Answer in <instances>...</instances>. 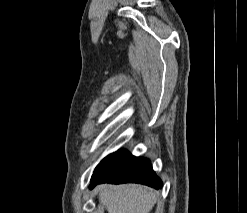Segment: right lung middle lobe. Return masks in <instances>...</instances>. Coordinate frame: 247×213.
Returning a JSON list of instances; mask_svg holds the SVG:
<instances>
[{"label":"right lung middle lobe","instance_id":"1","mask_svg":"<svg viewBox=\"0 0 247 213\" xmlns=\"http://www.w3.org/2000/svg\"><path fill=\"white\" fill-rule=\"evenodd\" d=\"M97 168H98V166H97ZM97 168L95 169L94 174H93V176H92L91 180H92L94 177H96V176H97V173H98Z\"/></svg>","mask_w":247,"mask_h":213}]
</instances>
